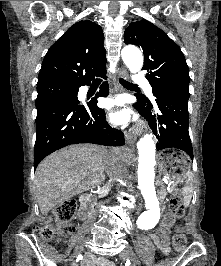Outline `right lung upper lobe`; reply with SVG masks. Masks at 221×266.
Instances as JSON below:
<instances>
[{"instance_id": "cb5924a9", "label": "right lung upper lobe", "mask_w": 221, "mask_h": 266, "mask_svg": "<svg viewBox=\"0 0 221 266\" xmlns=\"http://www.w3.org/2000/svg\"><path fill=\"white\" fill-rule=\"evenodd\" d=\"M102 28L83 20L71 26L48 50L37 87L62 85L76 87L90 83L105 73L106 50Z\"/></svg>"}]
</instances>
